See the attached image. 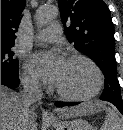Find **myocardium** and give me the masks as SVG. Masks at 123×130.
I'll list each match as a JSON object with an SVG mask.
<instances>
[{
  "label": "myocardium",
  "instance_id": "obj_1",
  "mask_svg": "<svg viewBox=\"0 0 123 130\" xmlns=\"http://www.w3.org/2000/svg\"><path fill=\"white\" fill-rule=\"evenodd\" d=\"M67 61H81V62H84L85 64H87L88 66H90L96 76V85L91 92L84 94V95L68 94V93L61 91L56 86H53L55 93L60 98L67 100V101H72V102L87 101V100H90V99L96 97L100 93V91L102 90L103 85H104L103 74H102L100 68L98 67V65L93 60H91L90 58H88L82 54H72V55L68 56Z\"/></svg>",
  "mask_w": 123,
  "mask_h": 130
}]
</instances>
